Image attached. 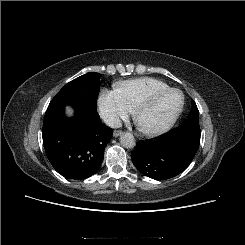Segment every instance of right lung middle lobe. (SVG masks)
<instances>
[{
	"label": "right lung middle lobe",
	"mask_w": 245,
	"mask_h": 245,
	"mask_svg": "<svg viewBox=\"0 0 245 245\" xmlns=\"http://www.w3.org/2000/svg\"><path fill=\"white\" fill-rule=\"evenodd\" d=\"M100 78L99 73L89 72L72 80L57 93L49 106L81 103L96 108L101 84Z\"/></svg>",
	"instance_id": "right-lung-middle-lobe-1"
}]
</instances>
